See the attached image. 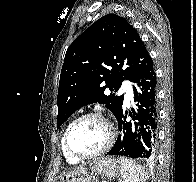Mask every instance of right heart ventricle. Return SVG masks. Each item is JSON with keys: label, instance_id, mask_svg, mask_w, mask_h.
I'll return each mask as SVG.
<instances>
[{"label": "right heart ventricle", "instance_id": "right-heart-ventricle-1", "mask_svg": "<svg viewBox=\"0 0 196 182\" xmlns=\"http://www.w3.org/2000/svg\"><path fill=\"white\" fill-rule=\"evenodd\" d=\"M62 152H63V154H64V156H65V158H66V160H67L68 163H70V164H77V163L79 162V160H77V159L71 157V156L66 152V150H65V148H64V144H63V139H62Z\"/></svg>", "mask_w": 196, "mask_h": 182}]
</instances>
